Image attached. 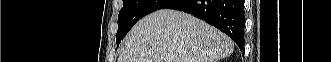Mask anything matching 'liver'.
<instances>
[{"label":"liver","mask_w":331,"mask_h":62,"mask_svg":"<svg viewBox=\"0 0 331 62\" xmlns=\"http://www.w3.org/2000/svg\"><path fill=\"white\" fill-rule=\"evenodd\" d=\"M233 41L190 14L159 10L139 20L125 38L118 62H217ZM172 61H165L168 56Z\"/></svg>","instance_id":"liver-1"}]
</instances>
